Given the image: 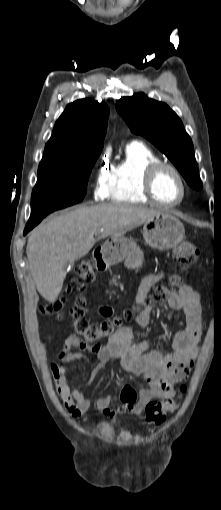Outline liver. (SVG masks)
<instances>
[{
    "mask_svg": "<svg viewBox=\"0 0 221 510\" xmlns=\"http://www.w3.org/2000/svg\"><path fill=\"white\" fill-rule=\"evenodd\" d=\"M161 212L128 203L79 207L42 222L26 247L28 269L40 295L53 303L62 290L66 265L89 253L99 239L120 237ZM101 229H103L101 231Z\"/></svg>",
    "mask_w": 221,
    "mask_h": 510,
    "instance_id": "6515ba94",
    "label": "liver"
}]
</instances>
